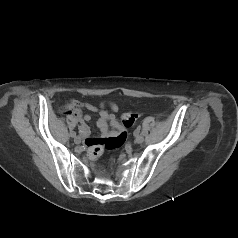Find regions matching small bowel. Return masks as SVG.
Instances as JSON below:
<instances>
[{
  "instance_id": "obj_1",
  "label": "small bowel",
  "mask_w": 238,
  "mask_h": 238,
  "mask_svg": "<svg viewBox=\"0 0 238 238\" xmlns=\"http://www.w3.org/2000/svg\"><path fill=\"white\" fill-rule=\"evenodd\" d=\"M110 108L113 112L118 111V106L111 102L109 103ZM89 110L92 112H97L99 114V119L97 121V127L99 128L102 138H91L90 137V128L87 125V122L90 120V116L83 113V110ZM64 110L74 116L79 123V131L85 139V144L91 148L98 141L109 138L116 137L121 134V130H126L127 126H122V124L117 120L116 116L113 113H109L104 104L100 106H95L90 103L81 102L78 100H70L65 104Z\"/></svg>"
}]
</instances>
